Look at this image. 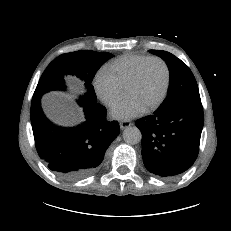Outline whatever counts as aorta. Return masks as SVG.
I'll list each match as a JSON object with an SVG mask.
<instances>
[{
    "mask_svg": "<svg viewBox=\"0 0 231 231\" xmlns=\"http://www.w3.org/2000/svg\"><path fill=\"white\" fill-rule=\"evenodd\" d=\"M123 139L127 144H138L142 139L141 131L137 127L129 126L123 132Z\"/></svg>",
    "mask_w": 231,
    "mask_h": 231,
    "instance_id": "aorta-1",
    "label": "aorta"
}]
</instances>
